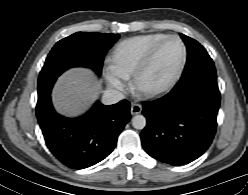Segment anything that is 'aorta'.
<instances>
[{
  "label": "aorta",
  "mask_w": 248,
  "mask_h": 195,
  "mask_svg": "<svg viewBox=\"0 0 248 195\" xmlns=\"http://www.w3.org/2000/svg\"><path fill=\"white\" fill-rule=\"evenodd\" d=\"M132 126L135 129L142 130L146 126V118L143 115H136L132 118Z\"/></svg>",
  "instance_id": "obj_1"
}]
</instances>
